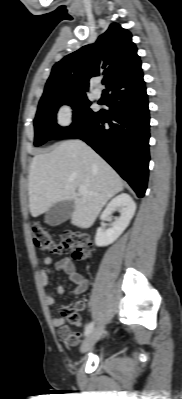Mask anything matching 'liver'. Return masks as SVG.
<instances>
[{"instance_id":"obj_1","label":"liver","mask_w":182,"mask_h":399,"mask_svg":"<svg viewBox=\"0 0 182 399\" xmlns=\"http://www.w3.org/2000/svg\"><path fill=\"white\" fill-rule=\"evenodd\" d=\"M85 186L88 193L77 194ZM29 208L33 217L54 204L73 200L71 223L89 228L110 198L124 189L116 171L79 140L63 141L49 153L34 156L29 172Z\"/></svg>"}]
</instances>
